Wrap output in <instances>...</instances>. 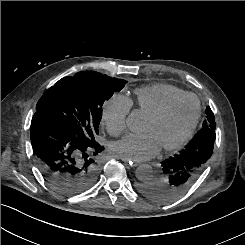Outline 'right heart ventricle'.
<instances>
[{"instance_id":"right-heart-ventricle-1","label":"right heart ventricle","mask_w":245,"mask_h":245,"mask_svg":"<svg viewBox=\"0 0 245 245\" xmlns=\"http://www.w3.org/2000/svg\"><path fill=\"white\" fill-rule=\"evenodd\" d=\"M182 89L168 84H152L135 91L138 110L147 116L171 98L185 94Z\"/></svg>"}]
</instances>
